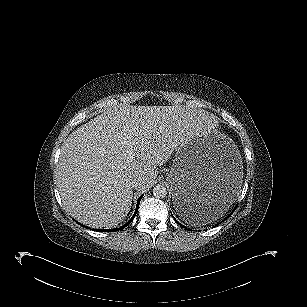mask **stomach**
<instances>
[{"instance_id": "0dacf381", "label": "stomach", "mask_w": 307, "mask_h": 307, "mask_svg": "<svg viewBox=\"0 0 307 307\" xmlns=\"http://www.w3.org/2000/svg\"><path fill=\"white\" fill-rule=\"evenodd\" d=\"M242 158L235 143L216 131H199L176 149L166 180L178 215L227 209L242 185ZM184 220V221H185Z\"/></svg>"}]
</instances>
